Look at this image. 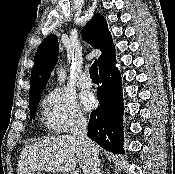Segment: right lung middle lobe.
I'll list each match as a JSON object with an SVG mask.
<instances>
[{
    "mask_svg": "<svg viewBox=\"0 0 175 174\" xmlns=\"http://www.w3.org/2000/svg\"><path fill=\"white\" fill-rule=\"evenodd\" d=\"M39 99H40V96L29 101L30 120L35 119Z\"/></svg>",
    "mask_w": 175,
    "mask_h": 174,
    "instance_id": "1",
    "label": "right lung middle lobe"
}]
</instances>
